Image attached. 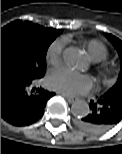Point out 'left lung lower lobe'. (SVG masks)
<instances>
[{"label":"left lung lower lobe","mask_w":122,"mask_h":154,"mask_svg":"<svg viewBox=\"0 0 122 154\" xmlns=\"http://www.w3.org/2000/svg\"><path fill=\"white\" fill-rule=\"evenodd\" d=\"M89 114L78 120L77 125L90 133H101L111 129L122 119V104L111 94L105 93L90 101Z\"/></svg>","instance_id":"obj_1"}]
</instances>
